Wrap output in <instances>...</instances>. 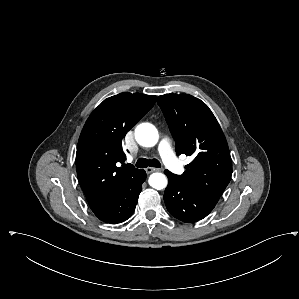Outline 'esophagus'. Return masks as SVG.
I'll list each match as a JSON object with an SVG mask.
<instances>
[{"mask_svg": "<svg viewBox=\"0 0 299 299\" xmlns=\"http://www.w3.org/2000/svg\"><path fill=\"white\" fill-rule=\"evenodd\" d=\"M145 171H146L147 174H150V173L155 172V171H161V169H159V168H153V167H147L145 169Z\"/></svg>", "mask_w": 299, "mask_h": 299, "instance_id": "34e87169", "label": "esophagus"}]
</instances>
